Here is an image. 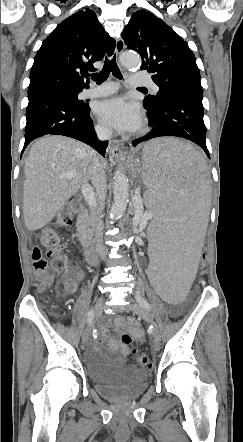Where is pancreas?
Wrapping results in <instances>:
<instances>
[{
  "label": "pancreas",
  "instance_id": "cf45deb5",
  "mask_svg": "<svg viewBox=\"0 0 243 442\" xmlns=\"http://www.w3.org/2000/svg\"><path fill=\"white\" fill-rule=\"evenodd\" d=\"M78 238L82 244L89 243L92 239L94 226L92 214L83 216L77 224Z\"/></svg>",
  "mask_w": 243,
  "mask_h": 442
}]
</instances>
